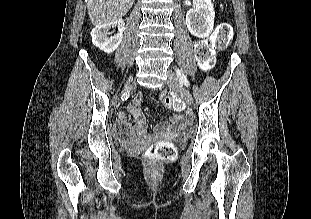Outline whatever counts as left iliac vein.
<instances>
[{"label": "left iliac vein", "instance_id": "1", "mask_svg": "<svg viewBox=\"0 0 311 219\" xmlns=\"http://www.w3.org/2000/svg\"><path fill=\"white\" fill-rule=\"evenodd\" d=\"M168 86L172 89H174L175 91H177L180 96L183 98V100L188 104V105H192L193 103V98L192 95L190 94V92L180 84L176 74L171 71L168 70V80H167Z\"/></svg>", "mask_w": 311, "mask_h": 219}]
</instances>
